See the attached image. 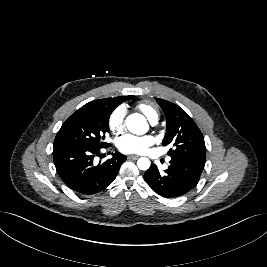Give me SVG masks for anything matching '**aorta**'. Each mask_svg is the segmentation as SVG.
I'll return each instance as SVG.
<instances>
[{
    "mask_svg": "<svg viewBox=\"0 0 267 267\" xmlns=\"http://www.w3.org/2000/svg\"><path fill=\"white\" fill-rule=\"evenodd\" d=\"M125 124L127 129L133 134L142 135L148 131V124L145 118L138 113L129 115L125 120ZM150 165L151 162L146 157H141L137 161V166L140 170L146 171L149 169Z\"/></svg>",
    "mask_w": 267,
    "mask_h": 267,
    "instance_id": "762f6f07",
    "label": "aorta"
}]
</instances>
